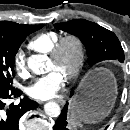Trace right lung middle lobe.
Wrapping results in <instances>:
<instances>
[{
	"instance_id": "1",
	"label": "right lung middle lobe",
	"mask_w": 130,
	"mask_h": 130,
	"mask_svg": "<svg viewBox=\"0 0 130 130\" xmlns=\"http://www.w3.org/2000/svg\"><path fill=\"white\" fill-rule=\"evenodd\" d=\"M43 25H27L17 34L0 33V83L10 85L15 76V55L25 40L32 32L39 30Z\"/></svg>"
}]
</instances>
